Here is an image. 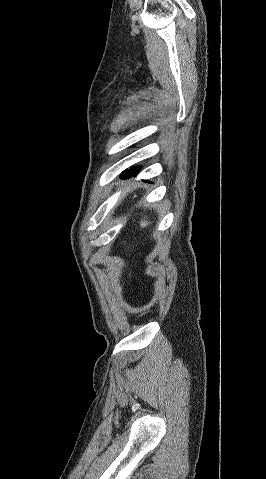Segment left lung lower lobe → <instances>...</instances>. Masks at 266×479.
Returning <instances> with one entry per match:
<instances>
[{
    "label": "left lung lower lobe",
    "mask_w": 266,
    "mask_h": 479,
    "mask_svg": "<svg viewBox=\"0 0 266 479\" xmlns=\"http://www.w3.org/2000/svg\"><path fill=\"white\" fill-rule=\"evenodd\" d=\"M139 170H140V168H138V167H133V168H131V169H129V170H125V171L121 174L120 178H121V179H127V178H130V177H132V176H136V175L138 174Z\"/></svg>",
    "instance_id": "0a47b994"
}]
</instances>
